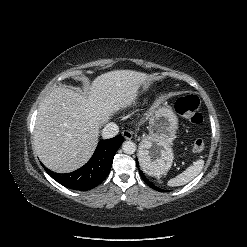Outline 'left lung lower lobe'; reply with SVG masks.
I'll return each mask as SVG.
<instances>
[{"label": "left lung lower lobe", "mask_w": 247, "mask_h": 247, "mask_svg": "<svg viewBox=\"0 0 247 247\" xmlns=\"http://www.w3.org/2000/svg\"><path fill=\"white\" fill-rule=\"evenodd\" d=\"M136 165H137V167H138V169H139V165H138L137 159H136ZM139 172H140V175H141L142 179H143V180H144L151 188H153L154 190L160 191L159 188H158L157 186H155V185L152 184L149 180L146 179V177L144 176V174H143L140 170H139Z\"/></svg>", "instance_id": "1"}]
</instances>
